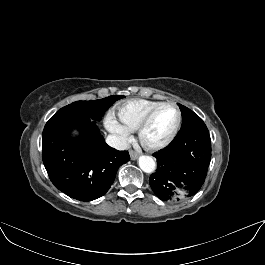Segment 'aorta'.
I'll return each instance as SVG.
<instances>
[{
    "mask_svg": "<svg viewBox=\"0 0 265 265\" xmlns=\"http://www.w3.org/2000/svg\"><path fill=\"white\" fill-rule=\"evenodd\" d=\"M139 167L145 172V173H152L155 170L156 163L150 156H140L138 159Z\"/></svg>",
    "mask_w": 265,
    "mask_h": 265,
    "instance_id": "aorta-1",
    "label": "aorta"
}]
</instances>
